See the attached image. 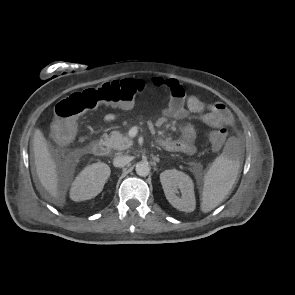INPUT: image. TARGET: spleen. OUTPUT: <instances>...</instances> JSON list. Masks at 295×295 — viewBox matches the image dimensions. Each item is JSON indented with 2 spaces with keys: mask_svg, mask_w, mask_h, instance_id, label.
Here are the masks:
<instances>
[{
  "mask_svg": "<svg viewBox=\"0 0 295 295\" xmlns=\"http://www.w3.org/2000/svg\"><path fill=\"white\" fill-rule=\"evenodd\" d=\"M234 139L226 143L223 153L218 156L207 171L202 191L201 211L208 213L217 207L231 190L237 178L240 162L234 156Z\"/></svg>",
  "mask_w": 295,
  "mask_h": 295,
  "instance_id": "obj_1",
  "label": "spleen"
}]
</instances>
